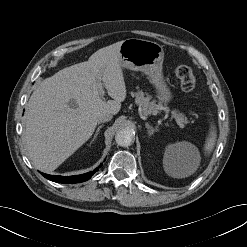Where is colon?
Here are the masks:
<instances>
[{
  "label": "colon",
  "instance_id": "5ec220e1",
  "mask_svg": "<svg viewBox=\"0 0 247 247\" xmlns=\"http://www.w3.org/2000/svg\"><path fill=\"white\" fill-rule=\"evenodd\" d=\"M175 74L180 81L181 88L184 92H192L196 86V79L190 67L179 65L175 69Z\"/></svg>",
  "mask_w": 247,
  "mask_h": 247
}]
</instances>
